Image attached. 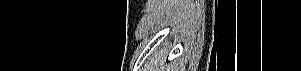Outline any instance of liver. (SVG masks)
<instances>
[{
  "mask_svg": "<svg viewBox=\"0 0 301 71\" xmlns=\"http://www.w3.org/2000/svg\"><path fill=\"white\" fill-rule=\"evenodd\" d=\"M166 59V55H162V54H155L151 63H150V67L148 69V71H158V69L163 65L164 61ZM166 71H171V66L168 65L166 68Z\"/></svg>",
  "mask_w": 301,
  "mask_h": 71,
  "instance_id": "6515ba94",
  "label": "liver"
}]
</instances>
